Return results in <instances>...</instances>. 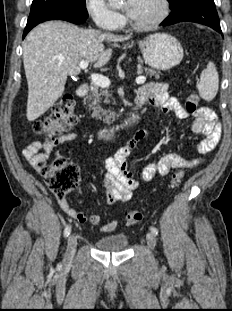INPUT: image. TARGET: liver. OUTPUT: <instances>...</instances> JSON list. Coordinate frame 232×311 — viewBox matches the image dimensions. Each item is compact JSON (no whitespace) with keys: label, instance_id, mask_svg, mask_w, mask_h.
Here are the masks:
<instances>
[{"label":"liver","instance_id":"6515ba94","mask_svg":"<svg viewBox=\"0 0 232 311\" xmlns=\"http://www.w3.org/2000/svg\"><path fill=\"white\" fill-rule=\"evenodd\" d=\"M130 38L81 29L61 21H49L34 28L23 44L28 121L39 118L62 96L67 76L80 73V61L86 60L100 68L110 60L112 49H105L103 42Z\"/></svg>","mask_w":232,"mask_h":311}]
</instances>
